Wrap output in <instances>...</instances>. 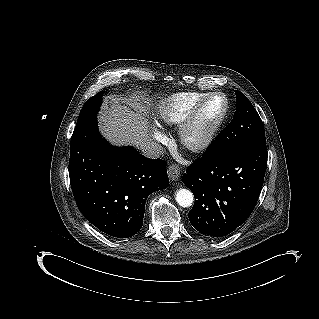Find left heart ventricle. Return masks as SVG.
Wrapping results in <instances>:
<instances>
[{"label": "left heart ventricle", "mask_w": 319, "mask_h": 319, "mask_svg": "<svg viewBox=\"0 0 319 319\" xmlns=\"http://www.w3.org/2000/svg\"><path fill=\"white\" fill-rule=\"evenodd\" d=\"M223 108V101L221 98L212 99L202 110L199 120L190 134V138L195 140L204 134L212 125L215 119L220 114Z\"/></svg>", "instance_id": "b2bd125f"}]
</instances>
